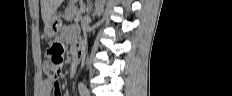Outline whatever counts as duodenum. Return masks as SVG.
<instances>
[{
  "label": "duodenum",
  "instance_id": "duodenum-1",
  "mask_svg": "<svg viewBox=\"0 0 232 96\" xmlns=\"http://www.w3.org/2000/svg\"><path fill=\"white\" fill-rule=\"evenodd\" d=\"M81 54H82L81 48L76 47L74 50L73 60L71 63V69H75L78 66V63H79L80 58H81Z\"/></svg>",
  "mask_w": 232,
  "mask_h": 96
}]
</instances>
